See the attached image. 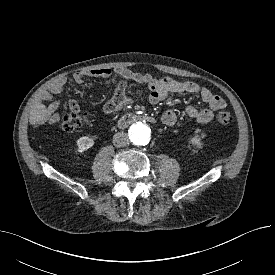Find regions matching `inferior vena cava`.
Listing matches in <instances>:
<instances>
[{
	"instance_id": "602c4592",
	"label": "inferior vena cava",
	"mask_w": 275,
	"mask_h": 275,
	"mask_svg": "<svg viewBox=\"0 0 275 275\" xmlns=\"http://www.w3.org/2000/svg\"><path fill=\"white\" fill-rule=\"evenodd\" d=\"M128 143H129V138L125 132H118L113 136V144L116 147H124Z\"/></svg>"
}]
</instances>
